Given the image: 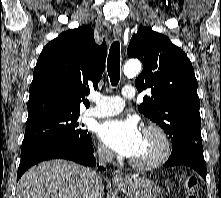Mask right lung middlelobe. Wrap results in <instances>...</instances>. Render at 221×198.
<instances>
[{"label": "right lung middle lobe", "mask_w": 221, "mask_h": 198, "mask_svg": "<svg viewBox=\"0 0 221 198\" xmlns=\"http://www.w3.org/2000/svg\"><path fill=\"white\" fill-rule=\"evenodd\" d=\"M80 112L51 114L26 123L21 152L28 148L54 139H68L85 142L90 134L84 124L77 122Z\"/></svg>", "instance_id": "right-lung-middle-lobe-1"}]
</instances>
